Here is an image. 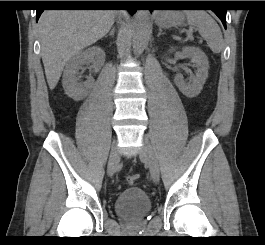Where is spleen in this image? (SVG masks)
I'll use <instances>...</instances> for the list:
<instances>
[{"instance_id": "1", "label": "spleen", "mask_w": 265, "mask_h": 245, "mask_svg": "<svg viewBox=\"0 0 265 245\" xmlns=\"http://www.w3.org/2000/svg\"><path fill=\"white\" fill-rule=\"evenodd\" d=\"M187 22L196 27L200 35L207 41L208 46L214 53L224 49V41L221 30L215 20L205 11H185Z\"/></svg>"}]
</instances>
